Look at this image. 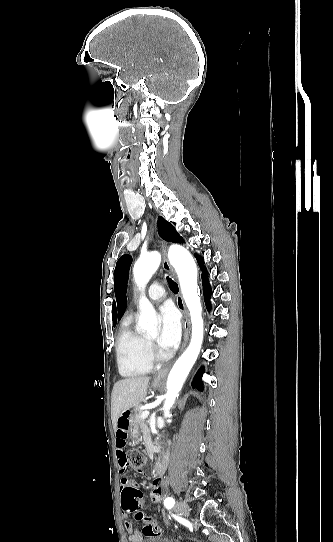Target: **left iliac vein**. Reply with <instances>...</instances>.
Returning <instances> with one entry per match:
<instances>
[{
  "instance_id": "1",
  "label": "left iliac vein",
  "mask_w": 333,
  "mask_h": 542,
  "mask_svg": "<svg viewBox=\"0 0 333 542\" xmlns=\"http://www.w3.org/2000/svg\"><path fill=\"white\" fill-rule=\"evenodd\" d=\"M175 509H176L177 513H179L180 515H183V516H188L189 513H190V507H189V505L187 504L186 501H179L176 504Z\"/></svg>"
}]
</instances>
